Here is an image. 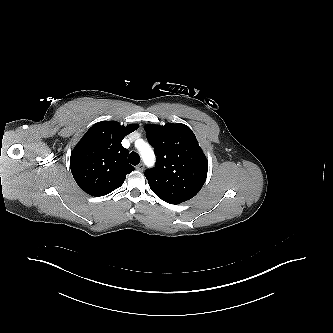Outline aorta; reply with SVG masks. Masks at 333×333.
Listing matches in <instances>:
<instances>
[{
  "label": "aorta",
  "mask_w": 333,
  "mask_h": 333,
  "mask_svg": "<svg viewBox=\"0 0 333 333\" xmlns=\"http://www.w3.org/2000/svg\"><path fill=\"white\" fill-rule=\"evenodd\" d=\"M141 145L138 148L143 161L147 166H152L155 163V154L149 144L145 143L143 140H140Z\"/></svg>",
  "instance_id": "762f6f07"
}]
</instances>
